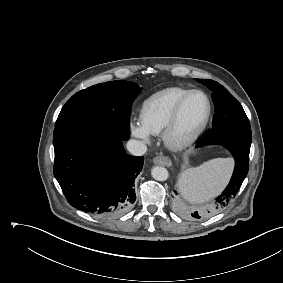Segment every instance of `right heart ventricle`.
<instances>
[{
	"label": "right heart ventricle",
	"mask_w": 283,
	"mask_h": 283,
	"mask_svg": "<svg viewBox=\"0 0 283 283\" xmlns=\"http://www.w3.org/2000/svg\"><path fill=\"white\" fill-rule=\"evenodd\" d=\"M189 89L170 87L163 89L147 98L140 111V122L149 134L162 133L177 101Z\"/></svg>",
	"instance_id": "right-heart-ventricle-1"
}]
</instances>
